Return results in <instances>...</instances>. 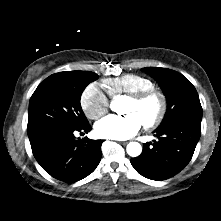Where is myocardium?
<instances>
[{
  "label": "myocardium",
  "instance_id": "f54148a6",
  "mask_svg": "<svg viewBox=\"0 0 221 221\" xmlns=\"http://www.w3.org/2000/svg\"><path fill=\"white\" fill-rule=\"evenodd\" d=\"M128 99L136 104H142L152 99L157 101V112L151 119L143 122L145 128H154L161 124L164 120L167 113V100L165 95L160 90L153 87L141 92L130 94L128 95Z\"/></svg>",
  "mask_w": 221,
  "mask_h": 221
}]
</instances>
